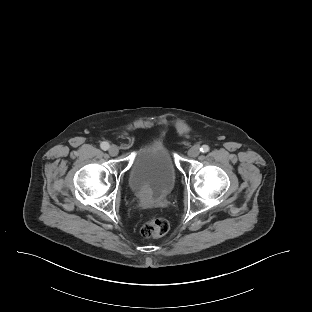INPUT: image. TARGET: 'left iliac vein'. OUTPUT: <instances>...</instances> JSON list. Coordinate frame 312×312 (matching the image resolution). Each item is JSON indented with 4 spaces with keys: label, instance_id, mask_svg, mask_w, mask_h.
<instances>
[{
    "label": "left iliac vein",
    "instance_id": "left-iliac-vein-1",
    "mask_svg": "<svg viewBox=\"0 0 312 312\" xmlns=\"http://www.w3.org/2000/svg\"><path fill=\"white\" fill-rule=\"evenodd\" d=\"M200 153V149H199V146L195 145L193 147H191L189 150H188V156L189 157H197Z\"/></svg>",
    "mask_w": 312,
    "mask_h": 312
}]
</instances>
